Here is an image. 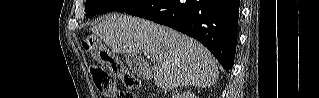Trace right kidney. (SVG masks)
I'll list each match as a JSON object with an SVG mask.
<instances>
[{
    "mask_svg": "<svg viewBox=\"0 0 319 98\" xmlns=\"http://www.w3.org/2000/svg\"><path fill=\"white\" fill-rule=\"evenodd\" d=\"M196 98V96H193ZM178 98H191V96H189L188 94H181L180 96H178Z\"/></svg>",
    "mask_w": 319,
    "mask_h": 98,
    "instance_id": "1",
    "label": "right kidney"
}]
</instances>
